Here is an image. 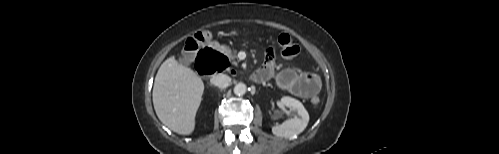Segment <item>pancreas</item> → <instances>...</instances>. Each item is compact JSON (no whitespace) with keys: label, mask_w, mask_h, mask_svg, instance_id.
I'll use <instances>...</instances> for the list:
<instances>
[{"label":"pancreas","mask_w":499,"mask_h":154,"mask_svg":"<svg viewBox=\"0 0 499 154\" xmlns=\"http://www.w3.org/2000/svg\"><path fill=\"white\" fill-rule=\"evenodd\" d=\"M221 50L234 63V59L236 56L232 53V51L227 46H222Z\"/></svg>","instance_id":"1"}]
</instances>
